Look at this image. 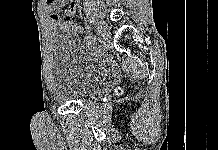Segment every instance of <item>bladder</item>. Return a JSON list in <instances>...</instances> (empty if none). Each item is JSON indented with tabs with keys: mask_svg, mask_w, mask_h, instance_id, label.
<instances>
[{
	"mask_svg": "<svg viewBox=\"0 0 218 150\" xmlns=\"http://www.w3.org/2000/svg\"><path fill=\"white\" fill-rule=\"evenodd\" d=\"M53 53L52 90L58 100L79 101L92 97L110 74L108 63L72 34H58Z\"/></svg>",
	"mask_w": 218,
	"mask_h": 150,
	"instance_id": "1",
	"label": "bladder"
}]
</instances>
